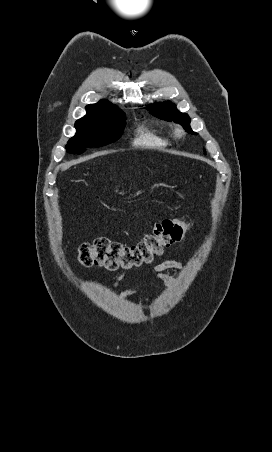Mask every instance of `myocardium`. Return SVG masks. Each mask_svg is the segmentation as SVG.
Listing matches in <instances>:
<instances>
[{
	"instance_id": "f54148a6",
	"label": "myocardium",
	"mask_w": 272,
	"mask_h": 452,
	"mask_svg": "<svg viewBox=\"0 0 272 452\" xmlns=\"http://www.w3.org/2000/svg\"><path fill=\"white\" fill-rule=\"evenodd\" d=\"M178 134H181V131H180V130H178Z\"/></svg>"
}]
</instances>
